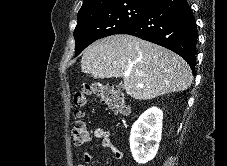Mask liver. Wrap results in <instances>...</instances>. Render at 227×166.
<instances>
[{
    "label": "liver",
    "mask_w": 227,
    "mask_h": 166,
    "mask_svg": "<svg viewBox=\"0 0 227 166\" xmlns=\"http://www.w3.org/2000/svg\"><path fill=\"white\" fill-rule=\"evenodd\" d=\"M81 70L95 79L123 77L126 93L137 100L184 91L193 80L189 65L176 53L120 34L88 46L81 59Z\"/></svg>",
    "instance_id": "obj_1"
}]
</instances>
